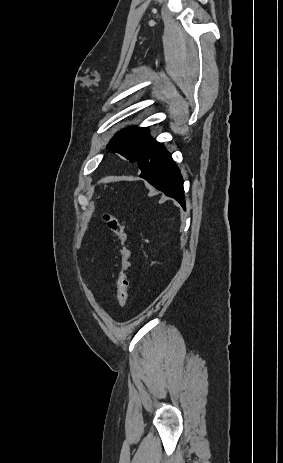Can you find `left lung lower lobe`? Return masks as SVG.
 Returning a JSON list of instances; mask_svg holds the SVG:
<instances>
[{
	"label": "left lung lower lobe",
	"instance_id": "obj_1",
	"mask_svg": "<svg viewBox=\"0 0 283 463\" xmlns=\"http://www.w3.org/2000/svg\"><path fill=\"white\" fill-rule=\"evenodd\" d=\"M146 179L167 196L176 199L185 209L183 179L178 167L161 143L153 140L150 147L137 160Z\"/></svg>",
	"mask_w": 283,
	"mask_h": 463
}]
</instances>
